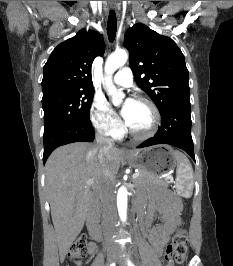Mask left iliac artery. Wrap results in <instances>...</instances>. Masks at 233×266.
Here are the masks:
<instances>
[{
    "label": "left iliac artery",
    "mask_w": 233,
    "mask_h": 266,
    "mask_svg": "<svg viewBox=\"0 0 233 266\" xmlns=\"http://www.w3.org/2000/svg\"><path fill=\"white\" fill-rule=\"evenodd\" d=\"M128 266H135L130 260H128Z\"/></svg>",
    "instance_id": "44dca946"
}]
</instances>
